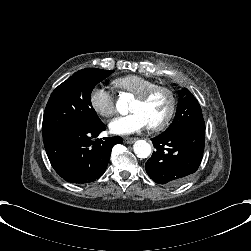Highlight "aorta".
<instances>
[{
	"label": "aorta",
	"instance_id": "aorta-1",
	"mask_svg": "<svg viewBox=\"0 0 251 251\" xmlns=\"http://www.w3.org/2000/svg\"><path fill=\"white\" fill-rule=\"evenodd\" d=\"M120 98L121 99L117 103L118 111H121V109L123 107H125V108L127 107L126 101H127V99L128 100L130 99V95L129 94H122ZM133 151L137 157L147 158L151 153V146L146 140L137 139L133 143Z\"/></svg>",
	"mask_w": 251,
	"mask_h": 251
}]
</instances>
